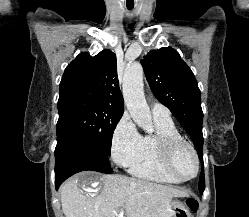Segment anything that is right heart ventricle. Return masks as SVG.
<instances>
[{
  "instance_id": "right-heart-ventricle-1",
  "label": "right heart ventricle",
  "mask_w": 249,
  "mask_h": 217,
  "mask_svg": "<svg viewBox=\"0 0 249 217\" xmlns=\"http://www.w3.org/2000/svg\"><path fill=\"white\" fill-rule=\"evenodd\" d=\"M154 122L156 131L154 134L141 136L138 152L128 166L129 172L138 178L153 182L179 183L180 181L165 169L158 141L162 136L181 137V135L171 118L154 117Z\"/></svg>"
}]
</instances>
